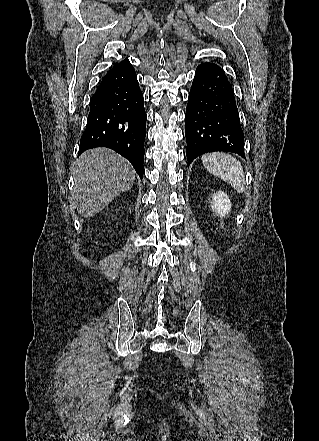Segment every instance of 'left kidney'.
Masks as SVG:
<instances>
[{
  "instance_id": "1",
  "label": "left kidney",
  "mask_w": 319,
  "mask_h": 441,
  "mask_svg": "<svg viewBox=\"0 0 319 441\" xmlns=\"http://www.w3.org/2000/svg\"><path fill=\"white\" fill-rule=\"evenodd\" d=\"M211 203L213 212L222 218L226 217L232 206L229 197L223 191L214 193Z\"/></svg>"
}]
</instances>
